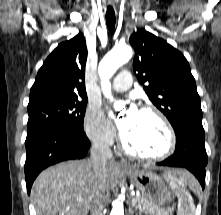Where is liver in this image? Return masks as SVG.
<instances>
[{
	"label": "liver",
	"mask_w": 221,
	"mask_h": 215,
	"mask_svg": "<svg viewBox=\"0 0 221 215\" xmlns=\"http://www.w3.org/2000/svg\"><path fill=\"white\" fill-rule=\"evenodd\" d=\"M119 167L109 161L103 181H99L90 160L68 161L51 166L36 178L31 196L37 215H87L98 185L113 190L119 178ZM185 171L175 170V176Z\"/></svg>",
	"instance_id": "obj_1"
}]
</instances>
